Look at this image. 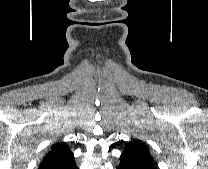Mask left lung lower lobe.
Returning <instances> with one entry per match:
<instances>
[{
    "label": "left lung lower lobe",
    "mask_w": 208,
    "mask_h": 169,
    "mask_svg": "<svg viewBox=\"0 0 208 169\" xmlns=\"http://www.w3.org/2000/svg\"><path fill=\"white\" fill-rule=\"evenodd\" d=\"M116 169H157L146 162L145 158L136 152L126 149L120 156V163Z\"/></svg>",
    "instance_id": "obj_1"
}]
</instances>
